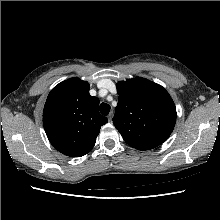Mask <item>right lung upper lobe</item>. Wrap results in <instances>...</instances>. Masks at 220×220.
Segmentation results:
<instances>
[{
    "label": "right lung upper lobe",
    "mask_w": 220,
    "mask_h": 220,
    "mask_svg": "<svg viewBox=\"0 0 220 220\" xmlns=\"http://www.w3.org/2000/svg\"><path fill=\"white\" fill-rule=\"evenodd\" d=\"M99 99L89 94V83L70 78L49 93L43 125L53 147L70 157H81L91 151L102 125L108 119L100 115Z\"/></svg>",
    "instance_id": "cb5924a9"
}]
</instances>
